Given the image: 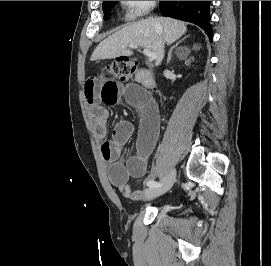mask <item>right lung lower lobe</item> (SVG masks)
<instances>
[{"label": "right lung lower lobe", "mask_w": 271, "mask_h": 266, "mask_svg": "<svg viewBox=\"0 0 271 266\" xmlns=\"http://www.w3.org/2000/svg\"><path fill=\"white\" fill-rule=\"evenodd\" d=\"M211 1H160L161 13L164 16L192 22L200 26L210 40L213 38L210 25Z\"/></svg>", "instance_id": "right-lung-lower-lobe-1"}]
</instances>
